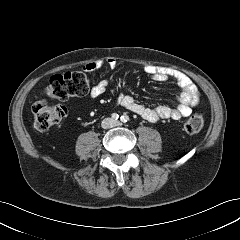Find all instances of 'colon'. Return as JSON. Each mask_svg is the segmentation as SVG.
Wrapping results in <instances>:
<instances>
[{
	"instance_id": "obj_1",
	"label": "colon",
	"mask_w": 240,
	"mask_h": 240,
	"mask_svg": "<svg viewBox=\"0 0 240 240\" xmlns=\"http://www.w3.org/2000/svg\"><path fill=\"white\" fill-rule=\"evenodd\" d=\"M88 92L89 80L84 73L78 71L54 75L45 87V93L55 101L84 96ZM66 115L65 106L39 101L33 106V128L38 132H45L64 120ZM203 125V117L193 115L187 119L184 128L188 134H195L201 131Z\"/></svg>"
}]
</instances>
